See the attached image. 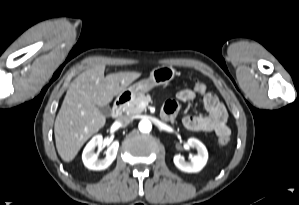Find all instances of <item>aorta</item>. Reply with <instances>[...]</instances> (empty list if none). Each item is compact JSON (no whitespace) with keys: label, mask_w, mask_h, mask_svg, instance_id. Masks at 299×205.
<instances>
[{"label":"aorta","mask_w":299,"mask_h":205,"mask_svg":"<svg viewBox=\"0 0 299 205\" xmlns=\"http://www.w3.org/2000/svg\"><path fill=\"white\" fill-rule=\"evenodd\" d=\"M138 127L141 132L148 133L152 129V124L149 120H141Z\"/></svg>","instance_id":"1"}]
</instances>
